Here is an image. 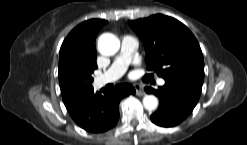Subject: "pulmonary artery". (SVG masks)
Wrapping results in <instances>:
<instances>
[{"label":"pulmonary artery","instance_id":"1","mask_svg":"<svg viewBox=\"0 0 247 145\" xmlns=\"http://www.w3.org/2000/svg\"><path fill=\"white\" fill-rule=\"evenodd\" d=\"M138 48V41L131 35H125L121 38V49L118 57L112 66L103 74L95 79L97 86H103L107 83L117 80L125 71L128 62ZM159 85H164V79L158 80Z\"/></svg>","mask_w":247,"mask_h":145}]
</instances>
